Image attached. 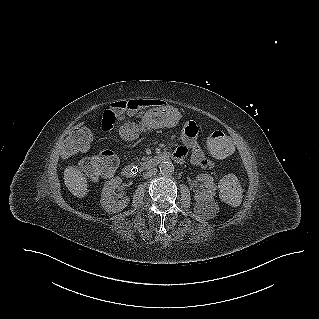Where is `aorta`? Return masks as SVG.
I'll return each mask as SVG.
<instances>
[{
    "mask_svg": "<svg viewBox=\"0 0 319 319\" xmlns=\"http://www.w3.org/2000/svg\"><path fill=\"white\" fill-rule=\"evenodd\" d=\"M159 170L163 175H171L174 172V166L171 161H162L159 165Z\"/></svg>",
    "mask_w": 319,
    "mask_h": 319,
    "instance_id": "obj_1",
    "label": "aorta"
}]
</instances>
